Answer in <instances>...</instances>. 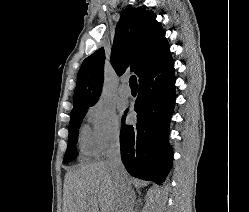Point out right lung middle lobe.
I'll use <instances>...</instances> for the list:
<instances>
[{
  "label": "right lung middle lobe",
  "instance_id": "1",
  "mask_svg": "<svg viewBox=\"0 0 249 212\" xmlns=\"http://www.w3.org/2000/svg\"><path fill=\"white\" fill-rule=\"evenodd\" d=\"M89 107L74 109L71 112V120L69 123V136H68V146L63 159L64 163H69L77 157L76 152V139L78 136L79 128L84 116L87 113Z\"/></svg>",
  "mask_w": 249,
  "mask_h": 212
}]
</instances>
